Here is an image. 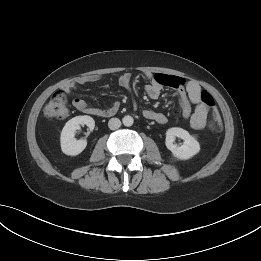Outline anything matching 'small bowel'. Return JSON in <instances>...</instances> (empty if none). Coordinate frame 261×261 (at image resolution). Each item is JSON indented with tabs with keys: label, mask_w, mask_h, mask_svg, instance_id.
Here are the masks:
<instances>
[{
	"label": "small bowel",
	"mask_w": 261,
	"mask_h": 261,
	"mask_svg": "<svg viewBox=\"0 0 261 261\" xmlns=\"http://www.w3.org/2000/svg\"><path fill=\"white\" fill-rule=\"evenodd\" d=\"M145 76L149 80V84L146 86L147 95L156 99L160 96L163 88L169 86L175 89L177 96L180 100L183 116L190 118V125L195 130H201L205 128L209 122V113L213 109L207 106L201 98L202 90L200 86L194 82H188L185 84V80L178 76H170L165 74H151L145 73ZM100 78L99 75H87L79 78L77 81H71L65 86V91L71 93L74 91L78 84H87L97 81ZM131 75L130 73H123L119 77V84L125 89H130ZM73 106L80 112L98 116H109L115 113L118 109V104L113 103L106 109H99L90 107L83 99L76 98L72 102ZM192 105L195 106L192 112ZM143 116L147 119L153 120L159 124H165L167 117L153 110L147 109L143 111ZM214 120V117H213Z\"/></svg>",
	"instance_id": "1"
}]
</instances>
